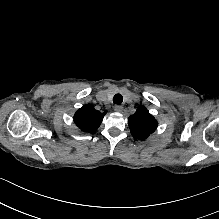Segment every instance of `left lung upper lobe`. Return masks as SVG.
<instances>
[{
  "instance_id": "obj_1",
  "label": "left lung upper lobe",
  "mask_w": 219,
  "mask_h": 219,
  "mask_svg": "<svg viewBox=\"0 0 219 219\" xmlns=\"http://www.w3.org/2000/svg\"><path fill=\"white\" fill-rule=\"evenodd\" d=\"M131 134L135 139L145 140L152 134L158 123L145 107H139L128 120Z\"/></svg>"
}]
</instances>
